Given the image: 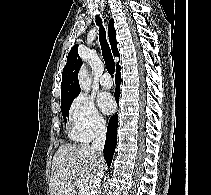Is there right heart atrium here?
<instances>
[{"label": "right heart atrium", "instance_id": "obj_1", "mask_svg": "<svg viewBox=\"0 0 211 195\" xmlns=\"http://www.w3.org/2000/svg\"><path fill=\"white\" fill-rule=\"evenodd\" d=\"M71 136L78 141L88 142L100 136L106 128V121L95 106L94 101L86 96H77L69 112Z\"/></svg>", "mask_w": 211, "mask_h": 195}]
</instances>
